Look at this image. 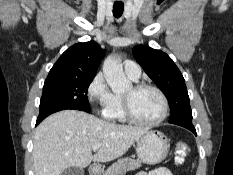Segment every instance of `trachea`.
Wrapping results in <instances>:
<instances>
[{"label":"trachea","instance_id":"1","mask_svg":"<svg viewBox=\"0 0 233 175\" xmlns=\"http://www.w3.org/2000/svg\"><path fill=\"white\" fill-rule=\"evenodd\" d=\"M124 10V4L123 3H115L113 6V15L114 17L118 18L122 15Z\"/></svg>","mask_w":233,"mask_h":175}]
</instances>
